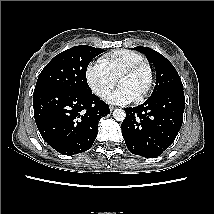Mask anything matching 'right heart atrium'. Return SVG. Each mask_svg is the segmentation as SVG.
<instances>
[{"label": "right heart atrium", "instance_id": "right-heart-atrium-1", "mask_svg": "<svg viewBox=\"0 0 214 214\" xmlns=\"http://www.w3.org/2000/svg\"><path fill=\"white\" fill-rule=\"evenodd\" d=\"M85 79L92 92L101 99L106 98L116 84V78L100 60L86 67Z\"/></svg>", "mask_w": 214, "mask_h": 214}]
</instances>
